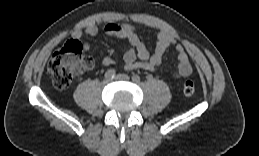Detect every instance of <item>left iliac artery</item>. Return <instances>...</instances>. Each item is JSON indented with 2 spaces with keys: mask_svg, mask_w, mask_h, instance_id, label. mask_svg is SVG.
Masks as SVG:
<instances>
[{
  "mask_svg": "<svg viewBox=\"0 0 259 156\" xmlns=\"http://www.w3.org/2000/svg\"><path fill=\"white\" fill-rule=\"evenodd\" d=\"M132 80L134 81V82H140V77L138 76V75H133L132 76Z\"/></svg>",
  "mask_w": 259,
  "mask_h": 156,
  "instance_id": "obj_1",
  "label": "left iliac artery"
}]
</instances>
